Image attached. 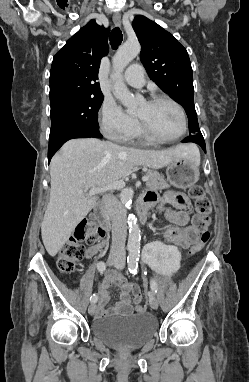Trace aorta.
Listing matches in <instances>:
<instances>
[{"label":"aorta","mask_w":249,"mask_h":382,"mask_svg":"<svg viewBox=\"0 0 249 382\" xmlns=\"http://www.w3.org/2000/svg\"><path fill=\"white\" fill-rule=\"evenodd\" d=\"M141 47L138 41H126L116 52L113 57V74L114 80L113 94L127 108L132 111L136 107V100L133 94L128 90L122 81V73L127 65L140 53ZM133 197L132 189L122 191L120 198L122 204L126 208H130ZM129 237L127 250L130 256H138L140 252L141 231L137 223V218L133 214L128 216Z\"/></svg>","instance_id":"obj_1"}]
</instances>
